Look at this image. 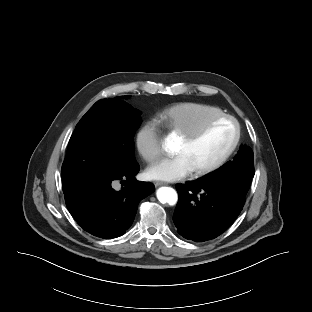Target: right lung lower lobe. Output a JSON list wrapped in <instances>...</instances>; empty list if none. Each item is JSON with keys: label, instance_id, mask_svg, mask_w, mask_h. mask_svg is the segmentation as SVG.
<instances>
[{"label": "right lung lower lobe", "instance_id": "98d812e1", "mask_svg": "<svg viewBox=\"0 0 312 312\" xmlns=\"http://www.w3.org/2000/svg\"><path fill=\"white\" fill-rule=\"evenodd\" d=\"M138 171L136 162L121 174L92 182L65 195L66 206L82 229L104 239L125 233L135 218L140 200L155 189L152 183L134 178ZM114 180H127L129 185L115 191Z\"/></svg>", "mask_w": 312, "mask_h": 312}]
</instances>
